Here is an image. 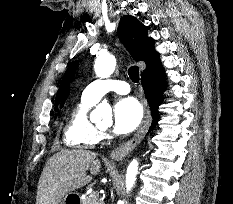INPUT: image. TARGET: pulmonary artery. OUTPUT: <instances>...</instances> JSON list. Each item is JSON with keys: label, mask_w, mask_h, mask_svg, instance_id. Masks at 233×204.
Returning a JSON list of instances; mask_svg holds the SVG:
<instances>
[{"label": "pulmonary artery", "mask_w": 233, "mask_h": 204, "mask_svg": "<svg viewBox=\"0 0 233 204\" xmlns=\"http://www.w3.org/2000/svg\"><path fill=\"white\" fill-rule=\"evenodd\" d=\"M111 91L127 94L130 91V86L127 82L121 80L99 79L87 85L82 96L92 102H97L103 95Z\"/></svg>", "instance_id": "1"}]
</instances>
